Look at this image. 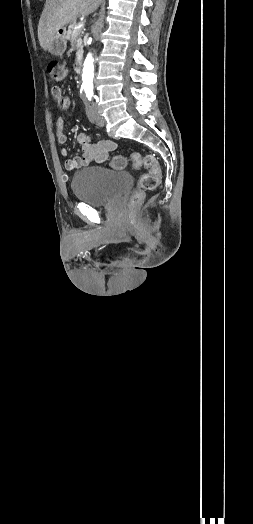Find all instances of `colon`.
Here are the masks:
<instances>
[{
  "label": "colon",
  "mask_w": 253,
  "mask_h": 524,
  "mask_svg": "<svg viewBox=\"0 0 253 524\" xmlns=\"http://www.w3.org/2000/svg\"><path fill=\"white\" fill-rule=\"evenodd\" d=\"M47 70L51 79L57 83L61 82L69 73L68 66L59 62H50ZM128 163L134 169H139L141 166L147 169V171L141 175L138 186L130 197L129 205L135 206L140 203L146 191L153 190L159 185L161 169L154 156L148 155L142 158L138 152L131 153L128 159L118 155L110 160V166L117 170L123 169Z\"/></svg>",
  "instance_id": "5ec220e1"
}]
</instances>
